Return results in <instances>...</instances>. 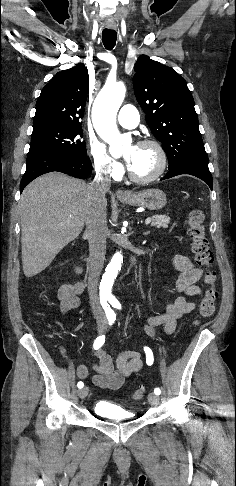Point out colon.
Masks as SVG:
<instances>
[{
  "mask_svg": "<svg viewBox=\"0 0 236 486\" xmlns=\"http://www.w3.org/2000/svg\"><path fill=\"white\" fill-rule=\"evenodd\" d=\"M187 235L191 241V249L196 262L206 271L205 280L209 288L200 303L199 315L201 318H209L215 311L218 293L214 286L216 280V273L213 270L214 256L206 236L204 214L200 209L194 208L189 211L187 215ZM144 394L145 390L140 388L133 392L132 398L140 400Z\"/></svg>",
  "mask_w": 236,
  "mask_h": 486,
  "instance_id": "obj_1",
  "label": "colon"
}]
</instances>
